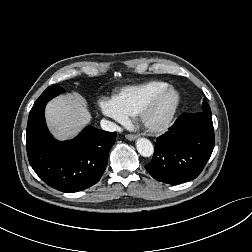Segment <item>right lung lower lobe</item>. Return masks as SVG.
<instances>
[{"label": "right lung lower lobe", "mask_w": 252, "mask_h": 252, "mask_svg": "<svg viewBox=\"0 0 252 252\" xmlns=\"http://www.w3.org/2000/svg\"><path fill=\"white\" fill-rule=\"evenodd\" d=\"M45 105L30 111L28 117L26 145L31 167L59 191L77 192L96 184L107 166L116 132L87 126L76 138L57 141L47 129Z\"/></svg>", "instance_id": "98d812e1"}]
</instances>
